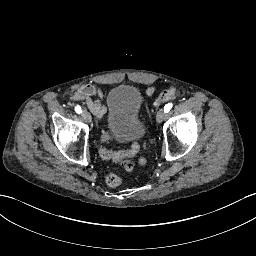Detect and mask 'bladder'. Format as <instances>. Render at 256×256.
Returning <instances> with one entry per match:
<instances>
[{"label":"bladder","mask_w":256,"mask_h":256,"mask_svg":"<svg viewBox=\"0 0 256 256\" xmlns=\"http://www.w3.org/2000/svg\"><path fill=\"white\" fill-rule=\"evenodd\" d=\"M109 110L105 118V124L111 130L115 125L125 121H136L141 105L142 97L134 86H117L107 94Z\"/></svg>","instance_id":"bladder-1"}]
</instances>
